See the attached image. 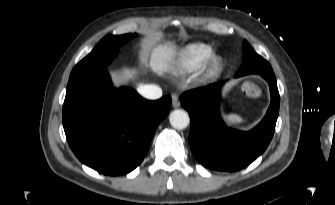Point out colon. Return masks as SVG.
<instances>
[{"mask_svg": "<svg viewBox=\"0 0 335 205\" xmlns=\"http://www.w3.org/2000/svg\"><path fill=\"white\" fill-rule=\"evenodd\" d=\"M243 90L250 97H258L261 93L259 87L253 82L244 83Z\"/></svg>", "mask_w": 335, "mask_h": 205, "instance_id": "1", "label": "colon"}]
</instances>
